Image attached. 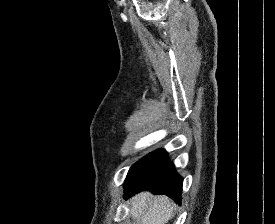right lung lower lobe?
<instances>
[{
	"label": "right lung lower lobe",
	"instance_id": "obj_1",
	"mask_svg": "<svg viewBox=\"0 0 275 224\" xmlns=\"http://www.w3.org/2000/svg\"><path fill=\"white\" fill-rule=\"evenodd\" d=\"M183 179L168 159L164 149L149 153L135 163L125 180V196L141 191L165 194L175 202L181 201Z\"/></svg>",
	"mask_w": 275,
	"mask_h": 224
}]
</instances>
